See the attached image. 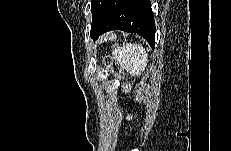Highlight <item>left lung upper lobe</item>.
<instances>
[{
    "instance_id": "5c2ea615",
    "label": "left lung upper lobe",
    "mask_w": 231,
    "mask_h": 151,
    "mask_svg": "<svg viewBox=\"0 0 231 151\" xmlns=\"http://www.w3.org/2000/svg\"><path fill=\"white\" fill-rule=\"evenodd\" d=\"M109 1L110 0H92L91 1V11L93 15L91 30L97 26Z\"/></svg>"
}]
</instances>
